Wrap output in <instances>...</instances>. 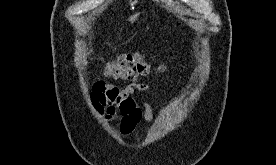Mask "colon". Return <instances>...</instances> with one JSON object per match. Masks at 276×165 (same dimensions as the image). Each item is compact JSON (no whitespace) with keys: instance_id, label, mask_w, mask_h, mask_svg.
I'll list each match as a JSON object with an SVG mask.
<instances>
[{"instance_id":"colon-1","label":"colon","mask_w":276,"mask_h":165,"mask_svg":"<svg viewBox=\"0 0 276 165\" xmlns=\"http://www.w3.org/2000/svg\"><path fill=\"white\" fill-rule=\"evenodd\" d=\"M151 69L150 64L139 52L121 54L107 62L103 68V74L113 78L128 80L146 75Z\"/></svg>"}]
</instances>
